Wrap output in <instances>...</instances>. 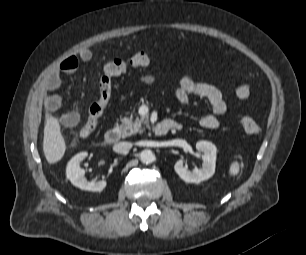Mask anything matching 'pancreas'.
I'll use <instances>...</instances> for the list:
<instances>
[{"instance_id":"1","label":"pancreas","mask_w":306,"mask_h":255,"mask_svg":"<svg viewBox=\"0 0 306 255\" xmlns=\"http://www.w3.org/2000/svg\"><path fill=\"white\" fill-rule=\"evenodd\" d=\"M121 124L118 126L119 130L122 134V137L131 136L137 133H142L145 127L148 126V118L147 117H136L133 120L132 117L127 118L124 117L121 119Z\"/></svg>"}]
</instances>
